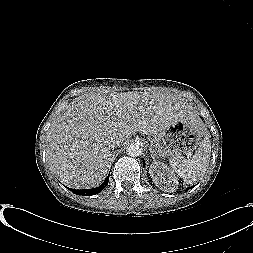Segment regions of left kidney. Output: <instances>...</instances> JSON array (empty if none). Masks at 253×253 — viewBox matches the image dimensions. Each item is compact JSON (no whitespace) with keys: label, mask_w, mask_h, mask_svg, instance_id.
I'll return each mask as SVG.
<instances>
[{"label":"left kidney","mask_w":253,"mask_h":253,"mask_svg":"<svg viewBox=\"0 0 253 253\" xmlns=\"http://www.w3.org/2000/svg\"><path fill=\"white\" fill-rule=\"evenodd\" d=\"M153 182L157 187L166 192H174L178 185V180L174 173L164 164L155 162L151 165Z\"/></svg>","instance_id":"1"}]
</instances>
